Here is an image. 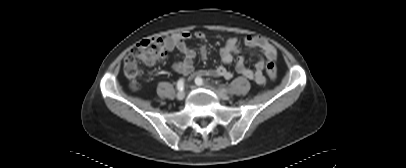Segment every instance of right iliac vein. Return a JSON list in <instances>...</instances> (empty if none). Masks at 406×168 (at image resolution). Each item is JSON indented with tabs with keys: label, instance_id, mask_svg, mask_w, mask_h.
I'll return each mask as SVG.
<instances>
[{
	"label": "right iliac vein",
	"instance_id": "obj_1",
	"mask_svg": "<svg viewBox=\"0 0 406 168\" xmlns=\"http://www.w3.org/2000/svg\"><path fill=\"white\" fill-rule=\"evenodd\" d=\"M176 97H177L178 100L184 99V97H185V92H184V91L178 92Z\"/></svg>",
	"mask_w": 406,
	"mask_h": 168
}]
</instances>
